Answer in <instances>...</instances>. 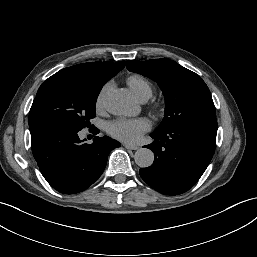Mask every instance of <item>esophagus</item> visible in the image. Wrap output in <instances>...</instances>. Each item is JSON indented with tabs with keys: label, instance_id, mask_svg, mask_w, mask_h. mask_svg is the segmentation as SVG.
I'll list each match as a JSON object with an SVG mask.
<instances>
[{
	"label": "esophagus",
	"instance_id": "34e87169",
	"mask_svg": "<svg viewBox=\"0 0 257 257\" xmlns=\"http://www.w3.org/2000/svg\"><path fill=\"white\" fill-rule=\"evenodd\" d=\"M124 147L126 149H130V150H137L139 149V146H136V145H129V144H124Z\"/></svg>",
	"mask_w": 257,
	"mask_h": 257
}]
</instances>
